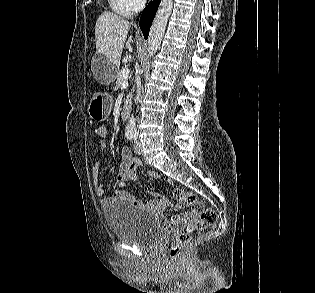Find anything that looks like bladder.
<instances>
[{"label": "bladder", "instance_id": "obj_1", "mask_svg": "<svg viewBox=\"0 0 315 293\" xmlns=\"http://www.w3.org/2000/svg\"><path fill=\"white\" fill-rule=\"evenodd\" d=\"M103 213L112 234L119 240L149 248L155 246L162 236L156 220L132 204L113 202Z\"/></svg>", "mask_w": 315, "mask_h": 293}]
</instances>
